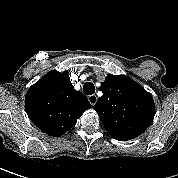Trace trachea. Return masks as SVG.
<instances>
[{
    "mask_svg": "<svg viewBox=\"0 0 178 178\" xmlns=\"http://www.w3.org/2000/svg\"><path fill=\"white\" fill-rule=\"evenodd\" d=\"M83 92L86 95H92V94H94L95 93V86H94V84L91 83V82H86L83 85Z\"/></svg>",
    "mask_w": 178,
    "mask_h": 178,
    "instance_id": "trachea-1",
    "label": "trachea"
}]
</instances>
